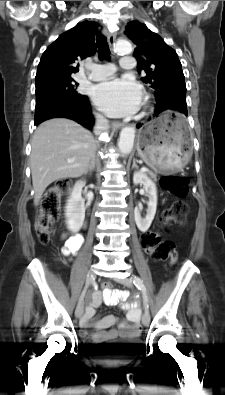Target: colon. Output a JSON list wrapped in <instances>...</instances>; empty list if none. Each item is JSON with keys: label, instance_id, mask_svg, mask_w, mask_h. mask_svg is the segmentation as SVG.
<instances>
[{"label": "colon", "instance_id": "obj_1", "mask_svg": "<svg viewBox=\"0 0 225 395\" xmlns=\"http://www.w3.org/2000/svg\"><path fill=\"white\" fill-rule=\"evenodd\" d=\"M164 190L175 196L177 200L163 214L160 225L168 231L172 223L183 224L187 214L184 198L188 193L189 179L184 175H165L161 178ZM69 181L62 179L51 184L43 194L37 211L36 230L42 244H47L54 234V223L60 215V203L63 193L68 189ZM142 244L156 261L167 262L172 268L177 260L174 242L162 240L159 232H149L142 238ZM102 288H112V281H102Z\"/></svg>", "mask_w": 225, "mask_h": 395}]
</instances>
